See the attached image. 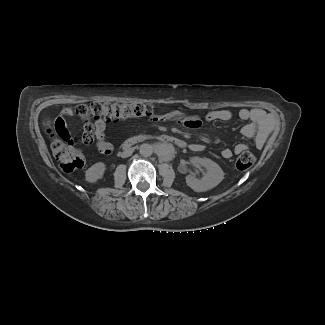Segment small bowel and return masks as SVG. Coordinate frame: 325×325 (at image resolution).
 Here are the masks:
<instances>
[{"label":"small bowel","instance_id":"small-bowel-1","mask_svg":"<svg viewBox=\"0 0 325 325\" xmlns=\"http://www.w3.org/2000/svg\"><path fill=\"white\" fill-rule=\"evenodd\" d=\"M59 118L56 119L55 124L60 136L64 139V142L71 147H76L79 144V139L76 136H71L67 130V124L65 118L72 116V108H64L60 113ZM238 116L242 120L250 121V124L246 125L242 133L244 136L251 137L255 134L258 135V143L263 139L267 133L270 124L271 117H269L261 109H241L238 112ZM63 117V118H62ZM234 117L233 113L227 109L213 110L205 115L206 122H228ZM167 120H179L187 128L198 129L202 126L203 120L197 115H191L184 117L181 113L170 112L164 115ZM107 124L103 119H96L94 122H85L83 143L92 144L94 143L98 151L104 156H110L114 151V146L107 141L105 131ZM190 149L193 151H202L204 145L201 143H193L190 145ZM247 149V145L244 143H238L234 149L225 148L222 150L221 155L225 159H229L233 156V153L239 154Z\"/></svg>","mask_w":325,"mask_h":325}]
</instances>
